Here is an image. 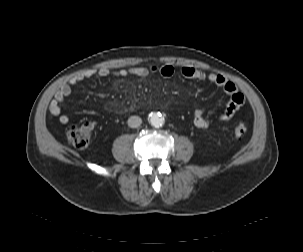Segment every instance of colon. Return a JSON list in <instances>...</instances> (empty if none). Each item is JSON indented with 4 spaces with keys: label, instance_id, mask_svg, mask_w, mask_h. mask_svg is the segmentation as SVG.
<instances>
[{
    "label": "colon",
    "instance_id": "obj_1",
    "mask_svg": "<svg viewBox=\"0 0 303 252\" xmlns=\"http://www.w3.org/2000/svg\"><path fill=\"white\" fill-rule=\"evenodd\" d=\"M93 124L86 123L78 127H73L68 131L69 141L76 147L86 148L92 138ZM248 132V124L239 123L234 127L233 133L236 137L244 136Z\"/></svg>",
    "mask_w": 303,
    "mask_h": 252
}]
</instances>
